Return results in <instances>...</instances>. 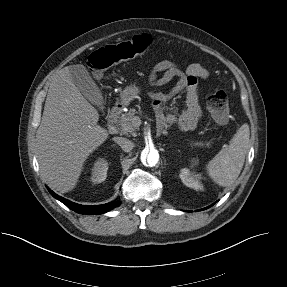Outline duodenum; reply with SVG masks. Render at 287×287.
Wrapping results in <instances>:
<instances>
[{
    "label": "duodenum",
    "mask_w": 287,
    "mask_h": 287,
    "mask_svg": "<svg viewBox=\"0 0 287 287\" xmlns=\"http://www.w3.org/2000/svg\"><path fill=\"white\" fill-rule=\"evenodd\" d=\"M122 110H123L122 104H120V103L115 104L111 108V110L108 114V122L113 123L118 118V116L121 114Z\"/></svg>",
    "instance_id": "duodenum-1"
}]
</instances>
